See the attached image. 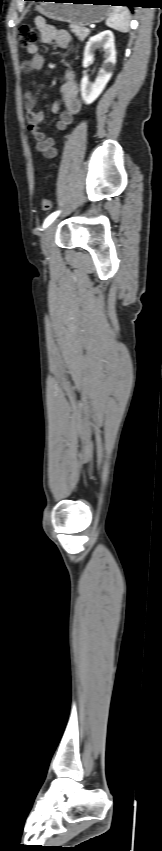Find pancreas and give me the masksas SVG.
<instances>
[{"label":"pancreas","instance_id":"cf45deb5","mask_svg":"<svg viewBox=\"0 0 162 851\" xmlns=\"http://www.w3.org/2000/svg\"><path fill=\"white\" fill-rule=\"evenodd\" d=\"M70 29L80 41H84V39L90 34V31H85V27L74 24H70Z\"/></svg>","mask_w":162,"mask_h":851}]
</instances>
